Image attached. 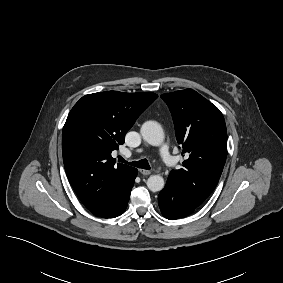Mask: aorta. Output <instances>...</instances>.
I'll use <instances>...</instances> for the list:
<instances>
[{
	"label": "aorta",
	"instance_id": "762f6f07",
	"mask_svg": "<svg viewBox=\"0 0 283 283\" xmlns=\"http://www.w3.org/2000/svg\"><path fill=\"white\" fill-rule=\"evenodd\" d=\"M143 139L152 146H159L164 140V132L156 121H147L141 127ZM164 179L160 175H151L147 180V187L152 192L161 191L164 188Z\"/></svg>",
	"mask_w": 283,
	"mask_h": 283
}]
</instances>
